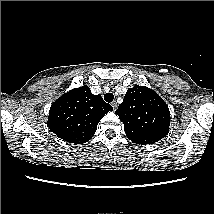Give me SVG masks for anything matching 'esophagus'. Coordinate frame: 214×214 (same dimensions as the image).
Segmentation results:
<instances>
[{"instance_id": "obj_1", "label": "esophagus", "mask_w": 214, "mask_h": 214, "mask_svg": "<svg viewBox=\"0 0 214 214\" xmlns=\"http://www.w3.org/2000/svg\"><path fill=\"white\" fill-rule=\"evenodd\" d=\"M111 105H112L113 109L116 110V108H117V102H116V101H113V102L111 103Z\"/></svg>"}]
</instances>
